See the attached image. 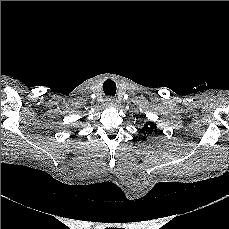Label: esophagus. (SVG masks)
I'll return each mask as SVG.
<instances>
[{"label":"esophagus","mask_w":229,"mask_h":229,"mask_svg":"<svg viewBox=\"0 0 229 229\" xmlns=\"http://www.w3.org/2000/svg\"><path fill=\"white\" fill-rule=\"evenodd\" d=\"M106 104L107 105H114L115 104V99L113 97H107L106 98Z\"/></svg>","instance_id":"1"}]
</instances>
